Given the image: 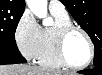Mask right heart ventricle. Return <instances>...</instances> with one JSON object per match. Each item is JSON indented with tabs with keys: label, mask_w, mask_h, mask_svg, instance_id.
Here are the masks:
<instances>
[{
	"label": "right heart ventricle",
	"mask_w": 102,
	"mask_h": 75,
	"mask_svg": "<svg viewBox=\"0 0 102 75\" xmlns=\"http://www.w3.org/2000/svg\"><path fill=\"white\" fill-rule=\"evenodd\" d=\"M54 23L52 26L41 28L40 32V50L37 61L40 65L49 68H58L63 64L58 60L55 53L54 39L58 28L72 23L69 14L51 11Z\"/></svg>",
	"instance_id": "obj_1"
}]
</instances>
